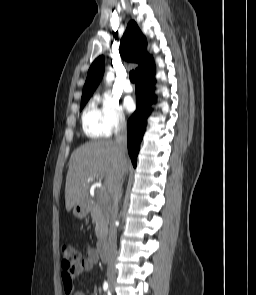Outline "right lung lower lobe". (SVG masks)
I'll list each match as a JSON object with an SVG mask.
<instances>
[{
	"instance_id": "obj_1",
	"label": "right lung lower lobe",
	"mask_w": 256,
	"mask_h": 295,
	"mask_svg": "<svg viewBox=\"0 0 256 295\" xmlns=\"http://www.w3.org/2000/svg\"><path fill=\"white\" fill-rule=\"evenodd\" d=\"M155 66L136 77L137 109L127 122L128 153L132 164L136 167L140 142L146 129L147 118L151 113L150 105L155 102L154 83Z\"/></svg>"
}]
</instances>
